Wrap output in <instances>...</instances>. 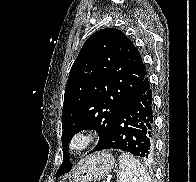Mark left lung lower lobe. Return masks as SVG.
Instances as JSON below:
<instances>
[{"label": "left lung lower lobe", "mask_w": 196, "mask_h": 182, "mask_svg": "<svg viewBox=\"0 0 196 182\" xmlns=\"http://www.w3.org/2000/svg\"><path fill=\"white\" fill-rule=\"evenodd\" d=\"M153 133L152 91L146 75L140 87L120 109L106 140L92 152L121 149L135 156L150 158L154 152Z\"/></svg>", "instance_id": "left-lung-lower-lobe-1"}]
</instances>
